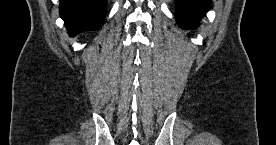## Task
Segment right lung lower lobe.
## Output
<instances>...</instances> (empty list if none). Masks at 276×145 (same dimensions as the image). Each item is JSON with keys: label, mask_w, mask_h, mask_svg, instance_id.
<instances>
[{"label": "right lung lower lobe", "mask_w": 276, "mask_h": 145, "mask_svg": "<svg viewBox=\"0 0 276 145\" xmlns=\"http://www.w3.org/2000/svg\"><path fill=\"white\" fill-rule=\"evenodd\" d=\"M106 6L107 0H60V15L68 34L98 30L104 23Z\"/></svg>", "instance_id": "1"}]
</instances>
